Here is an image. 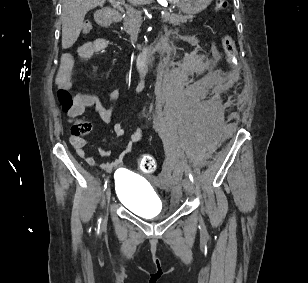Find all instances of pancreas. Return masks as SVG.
<instances>
[{
	"mask_svg": "<svg viewBox=\"0 0 308 283\" xmlns=\"http://www.w3.org/2000/svg\"><path fill=\"white\" fill-rule=\"evenodd\" d=\"M168 13V12H167ZM163 22H168L174 26H179L182 23H186L188 20H192V15H177V14H165L162 16ZM142 17L141 13L137 11L129 10L123 19V27L126 33H132L134 29L141 26Z\"/></svg>",
	"mask_w": 308,
	"mask_h": 283,
	"instance_id": "obj_1",
	"label": "pancreas"
}]
</instances>
